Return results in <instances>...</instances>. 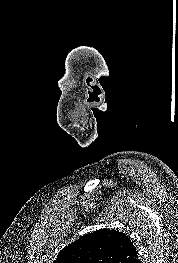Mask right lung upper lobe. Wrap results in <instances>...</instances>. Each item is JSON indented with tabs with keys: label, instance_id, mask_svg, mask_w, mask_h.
Segmentation results:
<instances>
[{
	"label": "right lung upper lobe",
	"instance_id": "obj_1",
	"mask_svg": "<svg viewBox=\"0 0 178 263\" xmlns=\"http://www.w3.org/2000/svg\"><path fill=\"white\" fill-rule=\"evenodd\" d=\"M53 263H141V260L125 233L100 229L64 247Z\"/></svg>",
	"mask_w": 178,
	"mask_h": 263
}]
</instances>
